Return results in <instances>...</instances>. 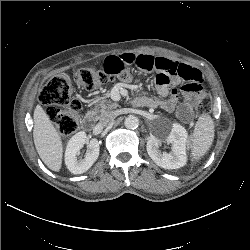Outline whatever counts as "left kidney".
I'll list each match as a JSON object with an SVG mask.
<instances>
[{
    "label": "left kidney",
    "mask_w": 250,
    "mask_h": 250,
    "mask_svg": "<svg viewBox=\"0 0 250 250\" xmlns=\"http://www.w3.org/2000/svg\"><path fill=\"white\" fill-rule=\"evenodd\" d=\"M188 133L186 129L173 123L170 133L164 138L151 136L147 141L146 149L150 158L160 167L165 169H178L187 162L186 145ZM162 142H166L171 147V152L160 150Z\"/></svg>",
    "instance_id": "left-kidney-1"
}]
</instances>
